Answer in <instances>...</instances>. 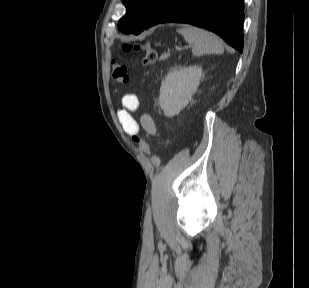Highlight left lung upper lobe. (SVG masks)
I'll list each match as a JSON object with an SVG mask.
<instances>
[{"label": "left lung upper lobe", "instance_id": "5c2ea615", "mask_svg": "<svg viewBox=\"0 0 309 288\" xmlns=\"http://www.w3.org/2000/svg\"><path fill=\"white\" fill-rule=\"evenodd\" d=\"M165 0H123L126 14L119 20L118 28L125 34L141 32Z\"/></svg>", "mask_w": 309, "mask_h": 288}]
</instances>
